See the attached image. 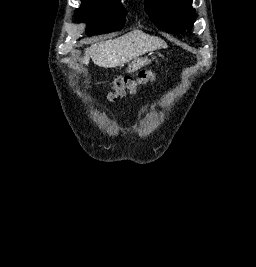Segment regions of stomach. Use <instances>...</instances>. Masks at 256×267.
<instances>
[{"label":"stomach","mask_w":256,"mask_h":267,"mask_svg":"<svg viewBox=\"0 0 256 267\" xmlns=\"http://www.w3.org/2000/svg\"><path fill=\"white\" fill-rule=\"evenodd\" d=\"M136 67H152V62H136Z\"/></svg>","instance_id":"1"}]
</instances>
